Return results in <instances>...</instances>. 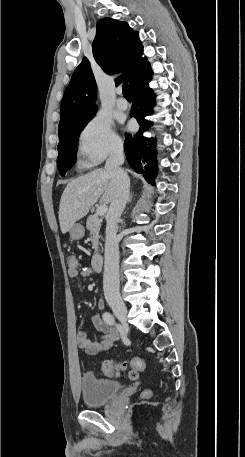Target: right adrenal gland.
<instances>
[{
    "label": "right adrenal gland",
    "instance_id": "right-adrenal-gland-1",
    "mask_svg": "<svg viewBox=\"0 0 245 457\" xmlns=\"http://www.w3.org/2000/svg\"><path fill=\"white\" fill-rule=\"evenodd\" d=\"M130 200H132V192H131V194L129 196V202H130Z\"/></svg>",
    "mask_w": 245,
    "mask_h": 457
}]
</instances>
